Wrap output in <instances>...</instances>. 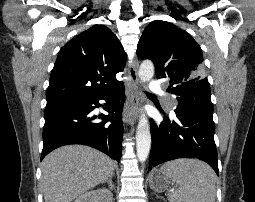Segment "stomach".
Segmentation results:
<instances>
[{
  "label": "stomach",
  "instance_id": "obj_1",
  "mask_svg": "<svg viewBox=\"0 0 255 202\" xmlns=\"http://www.w3.org/2000/svg\"><path fill=\"white\" fill-rule=\"evenodd\" d=\"M171 179L162 174L159 170L153 171L149 176L150 188L155 192H163L168 190Z\"/></svg>",
  "mask_w": 255,
  "mask_h": 202
}]
</instances>
